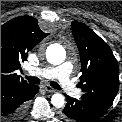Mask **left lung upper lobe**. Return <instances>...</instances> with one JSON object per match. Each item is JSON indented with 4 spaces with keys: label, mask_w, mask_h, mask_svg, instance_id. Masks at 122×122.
<instances>
[{
    "label": "left lung upper lobe",
    "mask_w": 122,
    "mask_h": 122,
    "mask_svg": "<svg viewBox=\"0 0 122 122\" xmlns=\"http://www.w3.org/2000/svg\"><path fill=\"white\" fill-rule=\"evenodd\" d=\"M72 33L80 53L82 98L109 108L119 89L117 60L110 47L85 24L73 21Z\"/></svg>",
    "instance_id": "left-lung-upper-lobe-1"
}]
</instances>
